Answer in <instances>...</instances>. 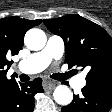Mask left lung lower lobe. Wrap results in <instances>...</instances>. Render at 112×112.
<instances>
[{
  "label": "left lung lower lobe",
  "instance_id": "0a47b994",
  "mask_svg": "<svg viewBox=\"0 0 112 112\" xmlns=\"http://www.w3.org/2000/svg\"><path fill=\"white\" fill-rule=\"evenodd\" d=\"M82 95H74L72 102L61 112H109L112 107V88L86 85Z\"/></svg>",
  "mask_w": 112,
  "mask_h": 112
}]
</instances>
